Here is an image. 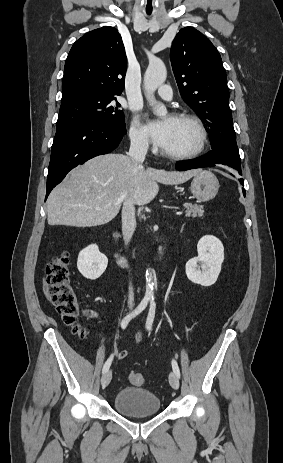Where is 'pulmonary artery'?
<instances>
[{
	"label": "pulmonary artery",
	"mask_w": 283,
	"mask_h": 463,
	"mask_svg": "<svg viewBox=\"0 0 283 463\" xmlns=\"http://www.w3.org/2000/svg\"><path fill=\"white\" fill-rule=\"evenodd\" d=\"M157 92L162 99L167 101L171 100L173 97L172 89L169 85H162L161 87H159Z\"/></svg>",
	"instance_id": "1"
}]
</instances>
